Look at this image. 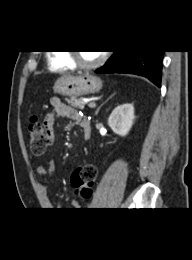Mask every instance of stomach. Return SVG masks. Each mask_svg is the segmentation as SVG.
Masks as SVG:
<instances>
[{
    "mask_svg": "<svg viewBox=\"0 0 192 260\" xmlns=\"http://www.w3.org/2000/svg\"><path fill=\"white\" fill-rule=\"evenodd\" d=\"M103 87L100 78L91 74L62 76L54 83V91L62 96L77 98L98 93Z\"/></svg>",
    "mask_w": 192,
    "mask_h": 260,
    "instance_id": "obj_1",
    "label": "stomach"
}]
</instances>
